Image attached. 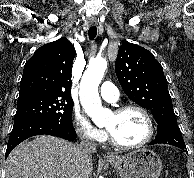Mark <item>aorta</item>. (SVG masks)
I'll list each match as a JSON object with an SVG mask.
<instances>
[{
	"mask_svg": "<svg viewBox=\"0 0 194 178\" xmlns=\"http://www.w3.org/2000/svg\"><path fill=\"white\" fill-rule=\"evenodd\" d=\"M107 68L105 58H97L89 63L80 83V101L87 115L94 123L104 121L106 109L102 107L98 86Z\"/></svg>",
	"mask_w": 194,
	"mask_h": 178,
	"instance_id": "obj_1",
	"label": "aorta"
}]
</instances>
